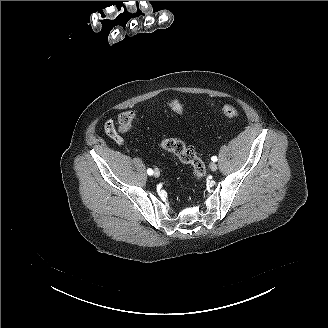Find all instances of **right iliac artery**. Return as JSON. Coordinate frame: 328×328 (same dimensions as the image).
<instances>
[{
	"instance_id": "obj_1",
	"label": "right iliac artery",
	"mask_w": 328,
	"mask_h": 328,
	"mask_svg": "<svg viewBox=\"0 0 328 328\" xmlns=\"http://www.w3.org/2000/svg\"><path fill=\"white\" fill-rule=\"evenodd\" d=\"M147 173H148V175H153V170L149 168V169L147 170Z\"/></svg>"
}]
</instances>
